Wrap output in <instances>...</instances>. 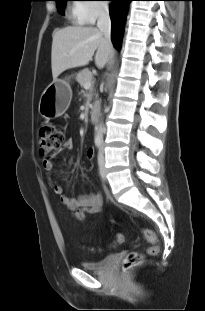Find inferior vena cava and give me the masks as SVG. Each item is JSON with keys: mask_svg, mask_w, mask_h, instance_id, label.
<instances>
[{"mask_svg": "<svg viewBox=\"0 0 205 311\" xmlns=\"http://www.w3.org/2000/svg\"><path fill=\"white\" fill-rule=\"evenodd\" d=\"M97 27L103 34L106 43L111 46V20L108 8L103 7L99 10Z\"/></svg>", "mask_w": 205, "mask_h": 311, "instance_id": "602c4592", "label": "inferior vena cava"}]
</instances>
